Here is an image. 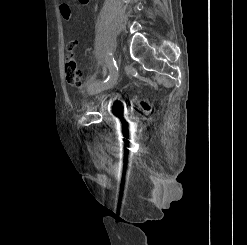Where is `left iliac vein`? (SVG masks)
I'll use <instances>...</instances> for the list:
<instances>
[{"mask_svg":"<svg viewBox=\"0 0 247 245\" xmlns=\"http://www.w3.org/2000/svg\"><path fill=\"white\" fill-rule=\"evenodd\" d=\"M118 76H119V73L117 71L114 74V76L111 79V81L108 82L107 84L101 85V84H96L95 83V84L90 85V87H89V93L90 94H97L100 91H103V90H106V89H109V88L113 87L115 85V83L117 82Z\"/></svg>","mask_w":247,"mask_h":245,"instance_id":"obj_1","label":"left iliac vein"}]
</instances>
